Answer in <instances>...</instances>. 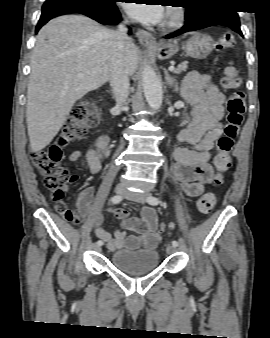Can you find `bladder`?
<instances>
[{
  "label": "bladder",
  "instance_id": "obj_1",
  "mask_svg": "<svg viewBox=\"0 0 270 338\" xmlns=\"http://www.w3.org/2000/svg\"><path fill=\"white\" fill-rule=\"evenodd\" d=\"M109 262L110 265L119 272L131 277H140L158 268L159 254L155 248L129 250L122 247L111 254Z\"/></svg>",
  "mask_w": 270,
  "mask_h": 338
}]
</instances>
